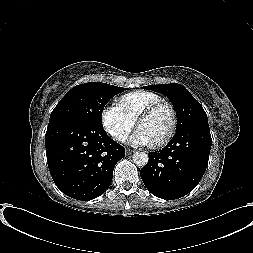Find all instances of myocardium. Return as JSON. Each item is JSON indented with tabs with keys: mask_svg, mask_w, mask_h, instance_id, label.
<instances>
[{
	"mask_svg": "<svg viewBox=\"0 0 253 253\" xmlns=\"http://www.w3.org/2000/svg\"><path fill=\"white\" fill-rule=\"evenodd\" d=\"M163 107H166L169 109L171 116H172V121H171L170 128H169L168 132L166 133V135L162 139H160L158 142L154 143L153 144L154 147H162V146L166 145L175 135L176 130H177V126H178V114H177L175 107L170 102L165 101V100H161V101L155 102V103L147 106L145 109H143L136 119V127H138L139 123L143 119L151 116L154 112H156L158 109L163 108Z\"/></svg>",
	"mask_w": 253,
	"mask_h": 253,
	"instance_id": "1",
	"label": "myocardium"
}]
</instances>
